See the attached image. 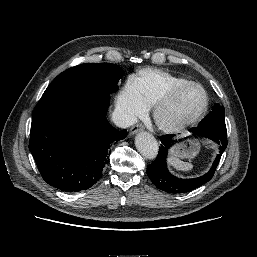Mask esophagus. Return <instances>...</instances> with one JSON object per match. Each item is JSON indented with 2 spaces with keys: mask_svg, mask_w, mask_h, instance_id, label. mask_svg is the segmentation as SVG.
Wrapping results in <instances>:
<instances>
[{
  "mask_svg": "<svg viewBox=\"0 0 257 257\" xmlns=\"http://www.w3.org/2000/svg\"><path fill=\"white\" fill-rule=\"evenodd\" d=\"M143 130V126L141 124H137L135 126H133L131 129H130V134L131 135H134L136 134L137 132H140Z\"/></svg>",
  "mask_w": 257,
  "mask_h": 257,
  "instance_id": "34e87169",
  "label": "esophagus"
}]
</instances>
